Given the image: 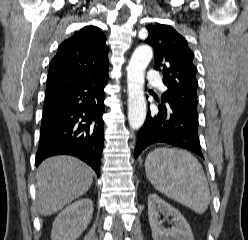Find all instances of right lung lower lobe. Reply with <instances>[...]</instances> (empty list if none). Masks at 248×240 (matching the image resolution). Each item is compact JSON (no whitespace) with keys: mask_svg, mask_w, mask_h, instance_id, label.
I'll list each match as a JSON object with an SVG mask.
<instances>
[{"mask_svg":"<svg viewBox=\"0 0 248 240\" xmlns=\"http://www.w3.org/2000/svg\"><path fill=\"white\" fill-rule=\"evenodd\" d=\"M107 81L108 75L45 93L36 165L47 157L68 154L86 162L99 176Z\"/></svg>","mask_w":248,"mask_h":240,"instance_id":"obj_1","label":"right lung lower lobe"}]
</instances>
